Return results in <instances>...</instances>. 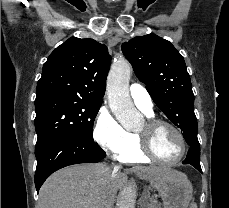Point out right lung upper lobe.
Masks as SVG:
<instances>
[{
    "instance_id": "obj_1",
    "label": "right lung upper lobe",
    "mask_w": 229,
    "mask_h": 208,
    "mask_svg": "<svg viewBox=\"0 0 229 208\" xmlns=\"http://www.w3.org/2000/svg\"><path fill=\"white\" fill-rule=\"evenodd\" d=\"M110 61L104 44L69 38L44 63L35 101L63 96L102 104Z\"/></svg>"
}]
</instances>
